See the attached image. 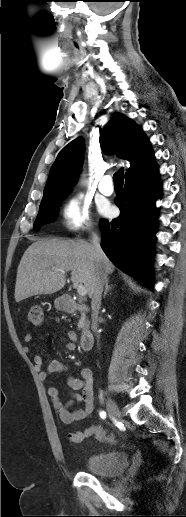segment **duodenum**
Returning a JSON list of instances; mask_svg holds the SVG:
<instances>
[{
    "instance_id": "1",
    "label": "duodenum",
    "mask_w": 186,
    "mask_h": 517,
    "mask_svg": "<svg viewBox=\"0 0 186 517\" xmlns=\"http://www.w3.org/2000/svg\"><path fill=\"white\" fill-rule=\"evenodd\" d=\"M62 306L65 312L74 314L77 312H83L87 313L89 311V307H87L84 304H81L79 302H76L72 299L69 295H64L61 298ZM94 341V335L93 332L87 328L84 327L81 330L80 334V345L83 351H89L92 347Z\"/></svg>"
}]
</instances>
